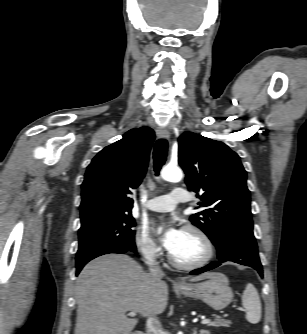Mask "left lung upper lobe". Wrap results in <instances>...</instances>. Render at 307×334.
I'll return each mask as SVG.
<instances>
[{"label": "left lung upper lobe", "mask_w": 307, "mask_h": 334, "mask_svg": "<svg viewBox=\"0 0 307 334\" xmlns=\"http://www.w3.org/2000/svg\"><path fill=\"white\" fill-rule=\"evenodd\" d=\"M178 145L188 189L201 194L199 205L205 208L190 221L216 248L229 230L252 231L250 191L240 157L224 143L192 132H184Z\"/></svg>", "instance_id": "1"}]
</instances>
